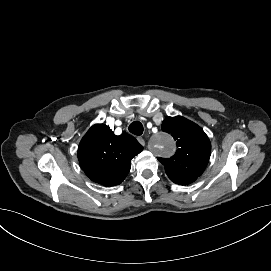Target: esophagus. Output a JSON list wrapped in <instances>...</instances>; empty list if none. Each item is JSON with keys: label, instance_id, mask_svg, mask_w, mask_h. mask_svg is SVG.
<instances>
[{"label": "esophagus", "instance_id": "34e87169", "mask_svg": "<svg viewBox=\"0 0 271 271\" xmlns=\"http://www.w3.org/2000/svg\"><path fill=\"white\" fill-rule=\"evenodd\" d=\"M137 140L139 141V143L141 145H145V142L147 141V138L145 136H142V137H137Z\"/></svg>", "mask_w": 271, "mask_h": 271}]
</instances>
